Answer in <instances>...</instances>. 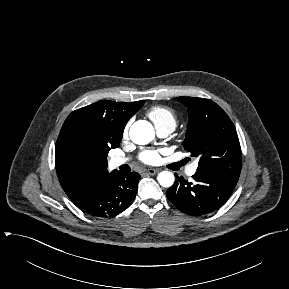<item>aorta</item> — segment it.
<instances>
[{
  "label": "aorta",
  "mask_w": 289,
  "mask_h": 289,
  "mask_svg": "<svg viewBox=\"0 0 289 289\" xmlns=\"http://www.w3.org/2000/svg\"><path fill=\"white\" fill-rule=\"evenodd\" d=\"M130 139L138 145L150 143L155 137V131L152 124L145 120H138L130 128ZM157 180L162 187L169 188L174 184L173 173L162 171L158 174Z\"/></svg>",
  "instance_id": "aorta-1"
}]
</instances>
